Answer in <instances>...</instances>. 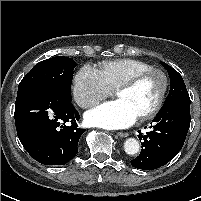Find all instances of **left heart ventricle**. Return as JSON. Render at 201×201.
Segmentation results:
<instances>
[{"label": "left heart ventricle", "instance_id": "1", "mask_svg": "<svg viewBox=\"0 0 201 201\" xmlns=\"http://www.w3.org/2000/svg\"><path fill=\"white\" fill-rule=\"evenodd\" d=\"M161 89V78L152 74L130 89L119 91L116 96L123 100L140 117L156 103Z\"/></svg>", "mask_w": 201, "mask_h": 201}]
</instances>
